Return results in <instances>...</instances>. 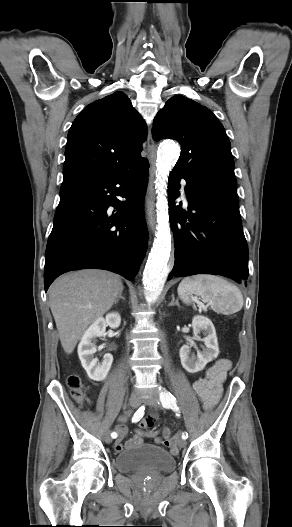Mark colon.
Segmentation results:
<instances>
[{"mask_svg": "<svg viewBox=\"0 0 292 527\" xmlns=\"http://www.w3.org/2000/svg\"><path fill=\"white\" fill-rule=\"evenodd\" d=\"M67 386L73 399L78 403H83L86 398L84 384L77 374H72L67 378ZM155 423V417L152 415L144 417L139 426L141 429H151ZM171 434V432H170Z\"/></svg>", "mask_w": 292, "mask_h": 527, "instance_id": "1", "label": "colon"}]
</instances>
